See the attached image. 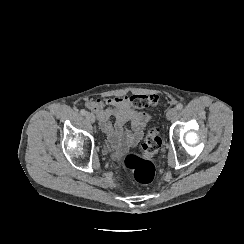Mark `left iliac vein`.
<instances>
[{
  "mask_svg": "<svg viewBox=\"0 0 244 244\" xmlns=\"http://www.w3.org/2000/svg\"><path fill=\"white\" fill-rule=\"evenodd\" d=\"M176 116H177V110L175 108L169 109L166 114V118L168 120H171V119L175 118Z\"/></svg>",
  "mask_w": 244,
  "mask_h": 244,
  "instance_id": "1",
  "label": "left iliac vein"
}]
</instances>
